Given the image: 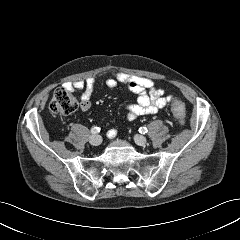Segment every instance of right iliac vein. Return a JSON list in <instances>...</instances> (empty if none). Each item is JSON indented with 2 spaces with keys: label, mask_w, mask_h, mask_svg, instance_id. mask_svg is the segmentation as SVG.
<instances>
[{
  "label": "right iliac vein",
  "mask_w": 240,
  "mask_h": 240,
  "mask_svg": "<svg viewBox=\"0 0 240 240\" xmlns=\"http://www.w3.org/2000/svg\"><path fill=\"white\" fill-rule=\"evenodd\" d=\"M89 142L93 146H99L102 143V137L100 135H92L89 138Z\"/></svg>",
  "instance_id": "1"
}]
</instances>
